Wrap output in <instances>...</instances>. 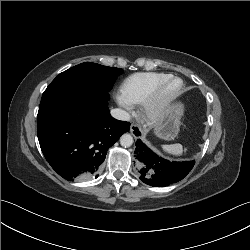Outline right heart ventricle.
Wrapping results in <instances>:
<instances>
[{
    "instance_id": "e07e8e85",
    "label": "right heart ventricle",
    "mask_w": 250,
    "mask_h": 250,
    "mask_svg": "<svg viewBox=\"0 0 250 250\" xmlns=\"http://www.w3.org/2000/svg\"><path fill=\"white\" fill-rule=\"evenodd\" d=\"M169 76V74L159 72L135 73L121 84V97L129 104H140L159 82Z\"/></svg>"
}]
</instances>
